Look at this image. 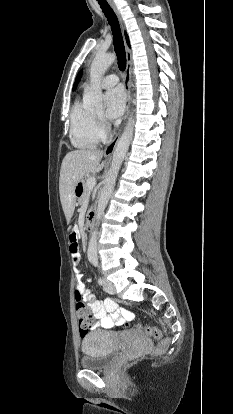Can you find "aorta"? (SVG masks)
Returning <instances> with one entry per match:
<instances>
[{"instance_id": "obj_1", "label": "aorta", "mask_w": 233, "mask_h": 414, "mask_svg": "<svg viewBox=\"0 0 233 414\" xmlns=\"http://www.w3.org/2000/svg\"><path fill=\"white\" fill-rule=\"evenodd\" d=\"M115 61V55L111 53H98L90 68V88L83 97V104L86 108L101 109L102 108V89L101 80L107 69ZM134 116L130 114L126 128L117 142L116 148L113 153L111 167L108 171V176L105 180V185L101 191L97 213H96V225H99V221L104 213V210L108 204L111 194L114 190L116 178L123 162V159L128 151L129 145L132 141L134 131ZM97 234L95 229L92 232L89 245H88V259L91 262L97 261Z\"/></svg>"}]
</instances>
